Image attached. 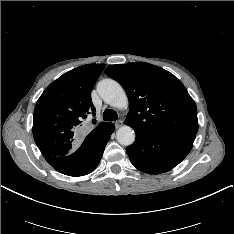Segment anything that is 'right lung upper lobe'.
Segmentation results:
<instances>
[{
    "instance_id": "obj_1",
    "label": "right lung upper lobe",
    "mask_w": 234,
    "mask_h": 234,
    "mask_svg": "<svg viewBox=\"0 0 234 234\" xmlns=\"http://www.w3.org/2000/svg\"><path fill=\"white\" fill-rule=\"evenodd\" d=\"M104 68L105 64L75 68L52 82L38 99L33 136L45 157L66 156L76 150L83 120L89 113L95 115L91 91Z\"/></svg>"
}]
</instances>
